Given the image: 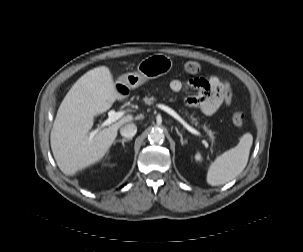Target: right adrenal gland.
<instances>
[{
	"instance_id": "obj_1",
	"label": "right adrenal gland",
	"mask_w": 303,
	"mask_h": 252,
	"mask_svg": "<svg viewBox=\"0 0 303 252\" xmlns=\"http://www.w3.org/2000/svg\"><path fill=\"white\" fill-rule=\"evenodd\" d=\"M132 140V138H123V139H120V140H116L115 142H114V144L116 143V142H121L122 143V146L124 147L125 146V142H128V141H131Z\"/></svg>"
}]
</instances>
